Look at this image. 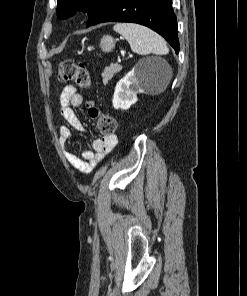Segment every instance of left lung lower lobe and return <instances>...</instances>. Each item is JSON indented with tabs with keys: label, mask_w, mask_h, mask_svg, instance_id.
Listing matches in <instances>:
<instances>
[{
	"label": "left lung lower lobe",
	"mask_w": 247,
	"mask_h": 296,
	"mask_svg": "<svg viewBox=\"0 0 247 296\" xmlns=\"http://www.w3.org/2000/svg\"><path fill=\"white\" fill-rule=\"evenodd\" d=\"M103 22H132L151 28L179 52L177 19L171 0H107L87 27Z\"/></svg>",
	"instance_id": "1"
}]
</instances>
